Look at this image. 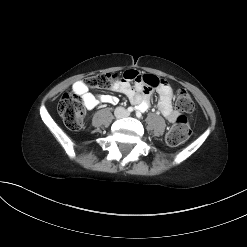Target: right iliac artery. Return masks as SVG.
I'll list each match as a JSON object with an SVG mask.
<instances>
[{
  "label": "right iliac artery",
  "mask_w": 247,
  "mask_h": 247,
  "mask_svg": "<svg viewBox=\"0 0 247 247\" xmlns=\"http://www.w3.org/2000/svg\"><path fill=\"white\" fill-rule=\"evenodd\" d=\"M127 111L130 113V112H132L133 111V107H128L127 108Z\"/></svg>",
  "instance_id": "right-iliac-artery-1"
}]
</instances>
